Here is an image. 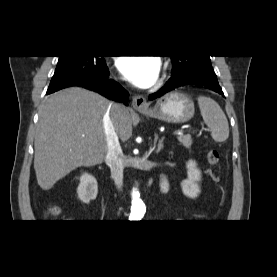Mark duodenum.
I'll list each match as a JSON object with an SVG mask.
<instances>
[{"instance_id": "duodenum-1", "label": "duodenum", "mask_w": 277, "mask_h": 277, "mask_svg": "<svg viewBox=\"0 0 277 277\" xmlns=\"http://www.w3.org/2000/svg\"><path fill=\"white\" fill-rule=\"evenodd\" d=\"M167 189H168V183H167L166 180H163V182H162V184H161V190H162L163 192H165V191H167Z\"/></svg>"}]
</instances>
